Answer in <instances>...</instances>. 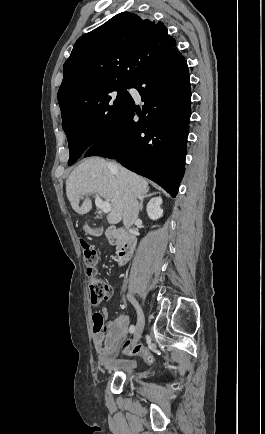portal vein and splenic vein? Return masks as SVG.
Here are the masks:
<instances>
[{"label": "portal vein and splenic vein", "mask_w": 265, "mask_h": 434, "mask_svg": "<svg viewBox=\"0 0 265 434\" xmlns=\"http://www.w3.org/2000/svg\"><path fill=\"white\" fill-rule=\"evenodd\" d=\"M95 204L98 210H101V212H104V214H109V212L112 210L110 202H103V200H101L100 196H97V194L95 198Z\"/></svg>", "instance_id": "18ae733b"}]
</instances>
